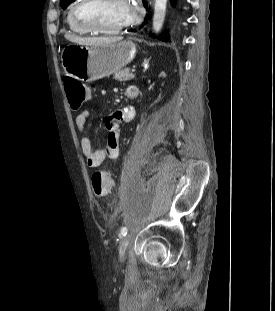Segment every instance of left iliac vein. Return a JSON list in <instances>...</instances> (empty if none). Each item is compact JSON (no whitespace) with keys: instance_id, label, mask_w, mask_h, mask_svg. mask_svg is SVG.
<instances>
[{"instance_id":"1","label":"left iliac vein","mask_w":275,"mask_h":311,"mask_svg":"<svg viewBox=\"0 0 275 311\" xmlns=\"http://www.w3.org/2000/svg\"><path fill=\"white\" fill-rule=\"evenodd\" d=\"M129 240H130V236L128 235V236L123 237L119 243L118 251H119V256L121 259H123L125 255L126 249L129 244Z\"/></svg>"}]
</instances>
